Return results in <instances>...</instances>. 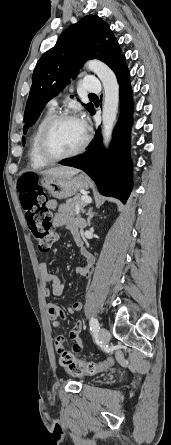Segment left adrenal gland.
I'll use <instances>...</instances> for the list:
<instances>
[{
    "mask_svg": "<svg viewBox=\"0 0 171 445\" xmlns=\"http://www.w3.org/2000/svg\"><path fill=\"white\" fill-rule=\"evenodd\" d=\"M92 210H93V208H89V210L87 212V215H88L87 226L91 225V219L93 218V216L97 215V213H93Z\"/></svg>",
    "mask_w": 171,
    "mask_h": 445,
    "instance_id": "obj_1",
    "label": "left adrenal gland"
}]
</instances>
